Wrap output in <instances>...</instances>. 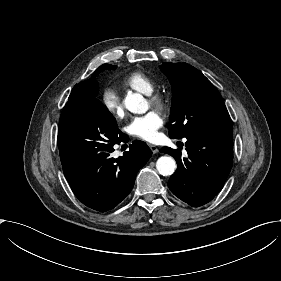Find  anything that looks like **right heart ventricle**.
Here are the masks:
<instances>
[{
	"mask_svg": "<svg viewBox=\"0 0 281 281\" xmlns=\"http://www.w3.org/2000/svg\"><path fill=\"white\" fill-rule=\"evenodd\" d=\"M124 90H132L144 95H152L155 91V83L144 72L136 70L126 75L120 82Z\"/></svg>",
	"mask_w": 281,
	"mask_h": 281,
	"instance_id": "1",
	"label": "right heart ventricle"
}]
</instances>
